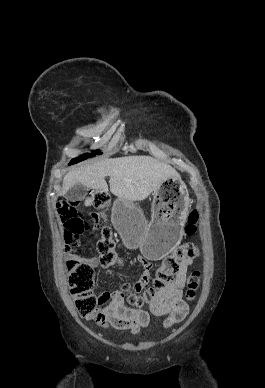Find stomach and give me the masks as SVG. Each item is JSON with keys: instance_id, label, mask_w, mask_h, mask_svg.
Instances as JSON below:
<instances>
[{"instance_id": "1", "label": "stomach", "mask_w": 265, "mask_h": 388, "mask_svg": "<svg viewBox=\"0 0 265 388\" xmlns=\"http://www.w3.org/2000/svg\"><path fill=\"white\" fill-rule=\"evenodd\" d=\"M152 218L148 222L132 202L118 198L112 219L125 246L140 248L150 260H160L178 245L189 212V192L181 178L163 180L154 192Z\"/></svg>"}]
</instances>
